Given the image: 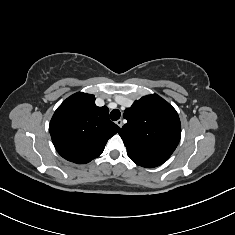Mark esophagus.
Returning a JSON list of instances; mask_svg holds the SVG:
<instances>
[{
    "instance_id": "esophagus-1",
    "label": "esophagus",
    "mask_w": 235,
    "mask_h": 235,
    "mask_svg": "<svg viewBox=\"0 0 235 235\" xmlns=\"http://www.w3.org/2000/svg\"><path fill=\"white\" fill-rule=\"evenodd\" d=\"M116 124L121 128V127L123 126V121H122V119H118V120L116 121Z\"/></svg>"
}]
</instances>
